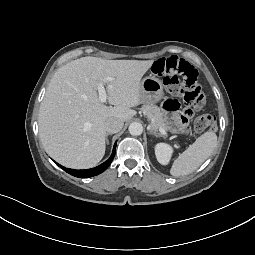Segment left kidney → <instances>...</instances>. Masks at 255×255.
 <instances>
[{
    "label": "left kidney",
    "mask_w": 255,
    "mask_h": 255,
    "mask_svg": "<svg viewBox=\"0 0 255 255\" xmlns=\"http://www.w3.org/2000/svg\"><path fill=\"white\" fill-rule=\"evenodd\" d=\"M172 153V147L166 143H158L155 146L156 158L158 162L162 165H166L169 163Z\"/></svg>",
    "instance_id": "1"
}]
</instances>
